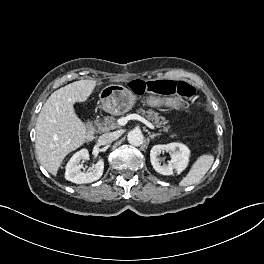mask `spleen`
Instances as JSON below:
<instances>
[{
    "label": "spleen",
    "instance_id": "obj_1",
    "mask_svg": "<svg viewBox=\"0 0 264 264\" xmlns=\"http://www.w3.org/2000/svg\"><path fill=\"white\" fill-rule=\"evenodd\" d=\"M213 162V155H201L192 165L188 174L180 181L179 185L185 187L198 183L211 168Z\"/></svg>",
    "mask_w": 264,
    "mask_h": 264
}]
</instances>
